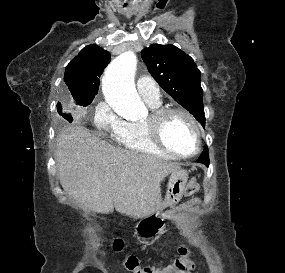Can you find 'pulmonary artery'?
I'll use <instances>...</instances> for the list:
<instances>
[{"mask_svg": "<svg viewBox=\"0 0 285 273\" xmlns=\"http://www.w3.org/2000/svg\"><path fill=\"white\" fill-rule=\"evenodd\" d=\"M136 86L140 96L147 103H159L161 101L160 89L151 77L147 75L139 76Z\"/></svg>", "mask_w": 285, "mask_h": 273, "instance_id": "pulmonary-artery-1", "label": "pulmonary artery"}]
</instances>
